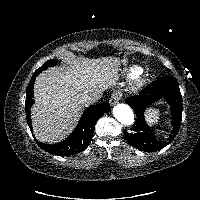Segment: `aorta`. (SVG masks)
Returning <instances> with one entry per match:
<instances>
[{"label":"aorta","mask_w":200,"mask_h":200,"mask_svg":"<svg viewBox=\"0 0 200 200\" xmlns=\"http://www.w3.org/2000/svg\"><path fill=\"white\" fill-rule=\"evenodd\" d=\"M113 116L124 125H132L134 123L133 110L127 104H117L113 108Z\"/></svg>","instance_id":"obj_1"}]
</instances>
